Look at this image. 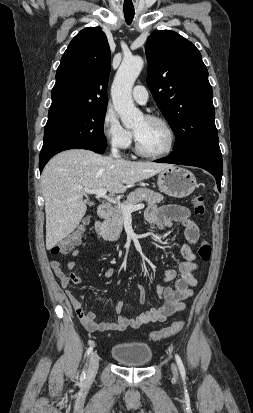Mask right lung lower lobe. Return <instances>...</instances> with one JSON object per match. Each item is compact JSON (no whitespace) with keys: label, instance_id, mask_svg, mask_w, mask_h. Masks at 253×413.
I'll return each instance as SVG.
<instances>
[{"label":"right lung lower lobe","instance_id":"98d812e1","mask_svg":"<svg viewBox=\"0 0 253 413\" xmlns=\"http://www.w3.org/2000/svg\"><path fill=\"white\" fill-rule=\"evenodd\" d=\"M106 147H107L106 142H97V143H92V144H84L81 142H68V143H61V144L55 145L45 150H41L40 161H39L40 172H42L43 167L46 165V163L55 154L61 151L68 150V149H86V150H92L99 154H103L105 152Z\"/></svg>","mask_w":253,"mask_h":413}]
</instances>
